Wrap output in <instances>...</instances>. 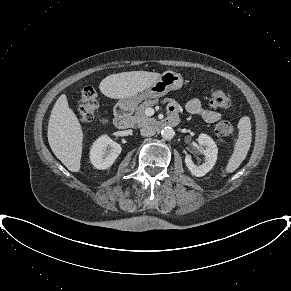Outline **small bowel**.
<instances>
[{"instance_id":"obj_1","label":"small bowel","mask_w":291,"mask_h":291,"mask_svg":"<svg viewBox=\"0 0 291 291\" xmlns=\"http://www.w3.org/2000/svg\"><path fill=\"white\" fill-rule=\"evenodd\" d=\"M188 113L193 115H200L207 123H215L221 119V114L217 111L206 108L199 99H191L186 105ZM169 117H176L179 111V105L172 102L169 105Z\"/></svg>"}]
</instances>
